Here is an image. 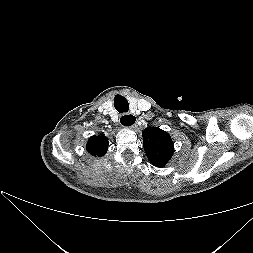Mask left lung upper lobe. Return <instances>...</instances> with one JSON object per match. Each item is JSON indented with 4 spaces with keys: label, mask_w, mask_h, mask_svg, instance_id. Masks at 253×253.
Wrapping results in <instances>:
<instances>
[{
    "label": "left lung upper lobe",
    "mask_w": 253,
    "mask_h": 253,
    "mask_svg": "<svg viewBox=\"0 0 253 253\" xmlns=\"http://www.w3.org/2000/svg\"><path fill=\"white\" fill-rule=\"evenodd\" d=\"M142 136L144 150L149 161L156 167L165 166L174 152L170 135L158 127H147Z\"/></svg>",
    "instance_id": "5c2ea615"
}]
</instances>
